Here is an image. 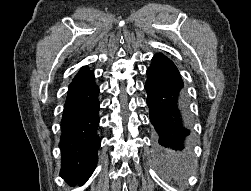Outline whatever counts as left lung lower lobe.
I'll return each instance as SVG.
<instances>
[{
	"label": "left lung lower lobe",
	"mask_w": 251,
	"mask_h": 191,
	"mask_svg": "<svg viewBox=\"0 0 251 191\" xmlns=\"http://www.w3.org/2000/svg\"><path fill=\"white\" fill-rule=\"evenodd\" d=\"M147 105L155 130L156 151L165 157L190 152L187 101L177 67L157 53L147 69Z\"/></svg>",
	"instance_id": "1"
}]
</instances>
